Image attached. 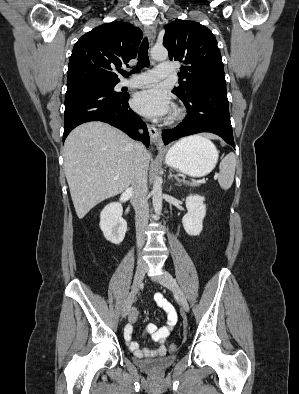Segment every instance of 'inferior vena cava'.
Segmentation results:
<instances>
[{"label":"inferior vena cava","instance_id":"1","mask_svg":"<svg viewBox=\"0 0 299 394\" xmlns=\"http://www.w3.org/2000/svg\"><path fill=\"white\" fill-rule=\"evenodd\" d=\"M135 149L131 199L135 210L136 239L139 251L145 243V229L149 218V206L147 201L148 163L144 156V145L136 142ZM138 263H143L141 257H138Z\"/></svg>","mask_w":299,"mask_h":394}]
</instances>
